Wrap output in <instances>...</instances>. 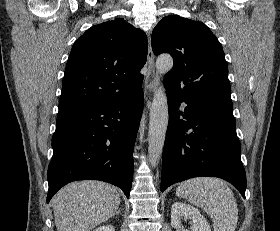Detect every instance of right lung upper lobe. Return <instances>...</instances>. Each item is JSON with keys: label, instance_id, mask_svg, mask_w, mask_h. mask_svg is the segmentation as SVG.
Returning <instances> with one entry per match:
<instances>
[{"label": "right lung upper lobe", "instance_id": "right-lung-upper-lobe-1", "mask_svg": "<svg viewBox=\"0 0 280 231\" xmlns=\"http://www.w3.org/2000/svg\"><path fill=\"white\" fill-rule=\"evenodd\" d=\"M147 38L124 19L89 28L68 58L57 117L132 96L143 81Z\"/></svg>", "mask_w": 280, "mask_h": 231}]
</instances>
